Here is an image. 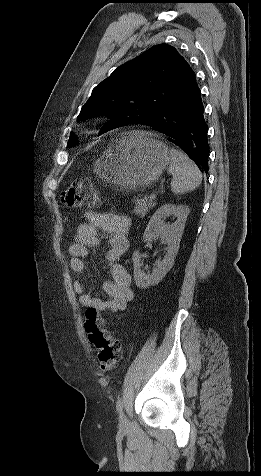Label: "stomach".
Listing matches in <instances>:
<instances>
[{
    "mask_svg": "<svg viewBox=\"0 0 261 476\" xmlns=\"http://www.w3.org/2000/svg\"><path fill=\"white\" fill-rule=\"evenodd\" d=\"M169 164L170 155L163 142L135 131L115 140L93 165L108 182L134 190L156 181Z\"/></svg>",
    "mask_w": 261,
    "mask_h": 476,
    "instance_id": "obj_1",
    "label": "stomach"
}]
</instances>
